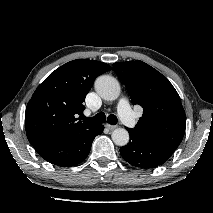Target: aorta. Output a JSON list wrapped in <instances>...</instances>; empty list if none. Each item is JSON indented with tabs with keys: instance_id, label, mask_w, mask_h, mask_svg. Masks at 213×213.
Here are the masks:
<instances>
[{
	"instance_id": "762f6f07",
	"label": "aorta",
	"mask_w": 213,
	"mask_h": 213,
	"mask_svg": "<svg viewBox=\"0 0 213 213\" xmlns=\"http://www.w3.org/2000/svg\"><path fill=\"white\" fill-rule=\"evenodd\" d=\"M95 90L104 100L113 101L120 94V85L114 77L102 75L95 81ZM111 137L118 146H125L129 142V133L124 128L113 130Z\"/></svg>"
}]
</instances>
